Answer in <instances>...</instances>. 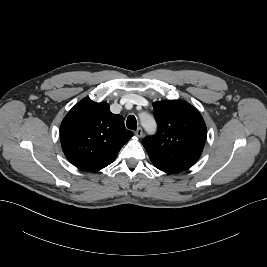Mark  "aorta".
Wrapping results in <instances>:
<instances>
[{
    "label": "aorta",
    "mask_w": 267,
    "mask_h": 267,
    "mask_svg": "<svg viewBox=\"0 0 267 267\" xmlns=\"http://www.w3.org/2000/svg\"><path fill=\"white\" fill-rule=\"evenodd\" d=\"M147 118H148L149 122L145 125V128L147 130H151L155 127V123H154V120L152 117H147Z\"/></svg>",
    "instance_id": "1"
}]
</instances>
